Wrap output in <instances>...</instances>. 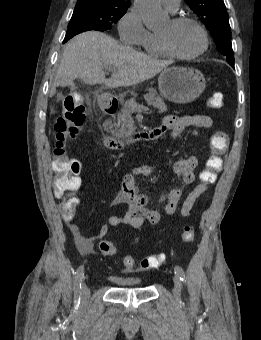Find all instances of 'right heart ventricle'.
Segmentation results:
<instances>
[{
  "label": "right heart ventricle",
  "instance_id": "1",
  "mask_svg": "<svg viewBox=\"0 0 261 340\" xmlns=\"http://www.w3.org/2000/svg\"><path fill=\"white\" fill-rule=\"evenodd\" d=\"M142 49L150 56L154 57H164L167 56V54L162 49L158 35L155 33H150L147 35V37L142 41L140 44Z\"/></svg>",
  "mask_w": 261,
  "mask_h": 340
}]
</instances>
